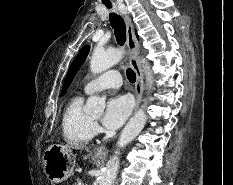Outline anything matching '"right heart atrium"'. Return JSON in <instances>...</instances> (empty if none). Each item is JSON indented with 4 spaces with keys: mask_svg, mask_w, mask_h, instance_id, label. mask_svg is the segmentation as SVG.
<instances>
[{
    "mask_svg": "<svg viewBox=\"0 0 233 185\" xmlns=\"http://www.w3.org/2000/svg\"><path fill=\"white\" fill-rule=\"evenodd\" d=\"M100 128L97 123H93V133L97 134L99 132Z\"/></svg>",
    "mask_w": 233,
    "mask_h": 185,
    "instance_id": "right-heart-atrium-1",
    "label": "right heart atrium"
}]
</instances>
